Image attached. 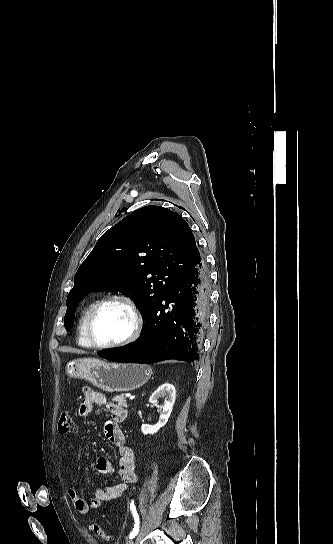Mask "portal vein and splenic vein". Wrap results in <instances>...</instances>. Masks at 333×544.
Wrapping results in <instances>:
<instances>
[{
  "label": "portal vein and splenic vein",
  "instance_id": "portal-vein-and-splenic-vein-1",
  "mask_svg": "<svg viewBox=\"0 0 333 544\" xmlns=\"http://www.w3.org/2000/svg\"><path fill=\"white\" fill-rule=\"evenodd\" d=\"M125 396H126V397H131V394H126Z\"/></svg>",
  "mask_w": 333,
  "mask_h": 544
}]
</instances>
